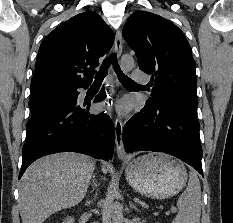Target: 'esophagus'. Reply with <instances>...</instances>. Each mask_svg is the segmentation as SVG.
Segmentation results:
<instances>
[{"label": "esophagus", "mask_w": 233, "mask_h": 223, "mask_svg": "<svg viewBox=\"0 0 233 223\" xmlns=\"http://www.w3.org/2000/svg\"><path fill=\"white\" fill-rule=\"evenodd\" d=\"M122 32L121 30H117L115 35V52L118 57L121 56L122 53ZM113 75L115 73L113 72ZM114 128H115V146H116V152L120 159H123L126 157V152L124 150V145L122 141V130H123V124L119 117H116L114 122Z\"/></svg>", "instance_id": "esophagus-1"}]
</instances>
